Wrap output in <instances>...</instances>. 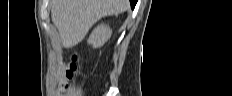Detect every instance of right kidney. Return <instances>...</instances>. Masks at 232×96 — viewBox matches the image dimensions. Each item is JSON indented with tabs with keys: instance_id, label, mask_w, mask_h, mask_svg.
Listing matches in <instances>:
<instances>
[{
	"instance_id": "obj_1",
	"label": "right kidney",
	"mask_w": 232,
	"mask_h": 96,
	"mask_svg": "<svg viewBox=\"0 0 232 96\" xmlns=\"http://www.w3.org/2000/svg\"><path fill=\"white\" fill-rule=\"evenodd\" d=\"M111 34V29L108 26L101 24L93 30L88 43L94 48L101 47L111 37Z\"/></svg>"
}]
</instances>
